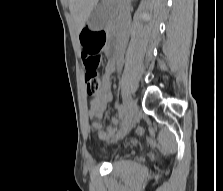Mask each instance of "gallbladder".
Wrapping results in <instances>:
<instances>
[{"instance_id":"gallbladder-1","label":"gallbladder","mask_w":223,"mask_h":191,"mask_svg":"<svg viewBox=\"0 0 223 191\" xmlns=\"http://www.w3.org/2000/svg\"><path fill=\"white\" fill-rule=\"evenodd\" d=\"M106 16L107 12L101 6H96L88 17L89 28L93 31L102 29L106 23Z\"/></svg>"}]
</instances>
